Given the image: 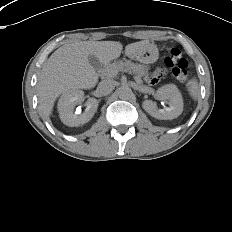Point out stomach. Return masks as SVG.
I'll use <instances>...</instances> for the list:
<instances>
[{
    "instance_id": "0dacf381",
    "label": "stomach",
    "mask_w": 232,
    "mask_h": 232,
    "mask_svg": "<svg viewBox=\"0 0 232 232\" xmlns=\"http://www.w3.org/2000/svg\"><path fill=\"white\" fill-rule=\"evenodd\" d=\"M131 57L144 64H151L157 61L159 57V51L154 44L149 43L142 49L132 54Z\"/></svg>"
}]
</instances>
